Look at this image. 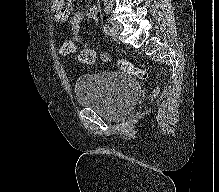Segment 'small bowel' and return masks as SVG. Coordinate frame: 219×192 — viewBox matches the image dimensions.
Here are the masks:
<instances>
[{
    "mask_svg": "<svg viewBox=\"0 0 219 192\" xmlns=\"http://www.w3.org/2000/svg\"><path fill=\"white\" fill-rule=\"evenodd\" d=\"M76 0H51L50 8L54 19L57 22H66L69 18V24L75 39H78V33L83 27L85 18L96 19L98 14L97 7H91L86 13L81 10L74 9ZM107 55L103 54L102 59H106Z\"/></svg>",
    "mask_w": 219,
    "mask_h": 192,
    "instance_id": "c3829d8e",
    "label": "small bowel"
}]
</instances>
